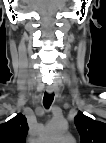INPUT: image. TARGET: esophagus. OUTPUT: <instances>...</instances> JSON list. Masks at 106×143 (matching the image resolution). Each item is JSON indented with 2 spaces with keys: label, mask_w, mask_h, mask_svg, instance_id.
Returning <instances> with one entry per match:
<instances>
[{
  "label": "esophagus",
  "mask_w": 106,
  "mask_h": 143,
  "mask_svg": "<svg viewBox=\"0 0 106 143\" xmlns=\"http://www.w3.org/2000/svg\"><path fill=\"white\" fill-rule=\"evenodd\" d=\"M46 91H47L48 94H55V95H56V92H57L56 88L53 87V86H48L46 88Z\"/></svg>",
  "instance_id": "obj_1"
}]
</instances>
